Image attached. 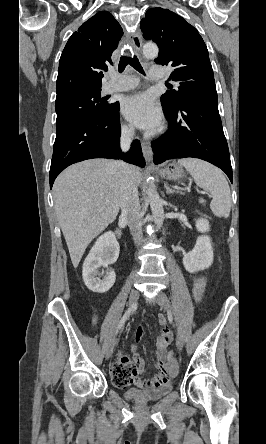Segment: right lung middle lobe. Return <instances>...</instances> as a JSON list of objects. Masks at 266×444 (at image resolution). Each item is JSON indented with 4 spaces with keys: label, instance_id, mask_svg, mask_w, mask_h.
<instances>
[{
    "label": "right lung middle lobe",
    "instance_id": "obj_1",
    "mask_svg": "<svg viewBox=\"0 0 266 444\" xmlns=\"http://www.w3.org/2000/svg\"><path fill=\"white\" fill-rule=\"evenodd\" d=\"M100 91L101 89L75 91L57 97L55 102L56 135H60L75 125L88 123L111 114L116 103L106 102L105 98H101Z\"/></svg>",
    "mask_w": 266,
    "mask_h": 444
}]
</instances>
